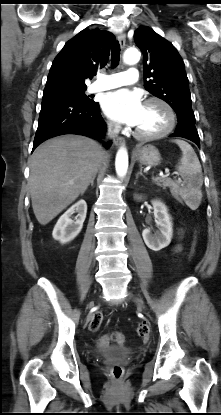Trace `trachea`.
<instances>
[{
  "mask_svg": "<svg viewBox=\"0 0 221 415\" xmlns=\"http://www.w3.org/2000/svg\"><path fill=\"white\" fill-rule=\"evenodd\" d=\"M120 60V45L116 42L111 49V62L112 67H116L119 64Z\"/></svg>",
  "mask_w": 221,
  "mask_h": 415,
  "instance_id": "trachea-1",
  "label": "trachea"
}]
</instances>
